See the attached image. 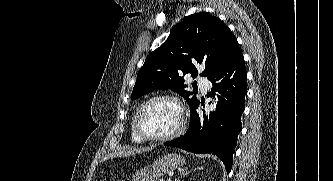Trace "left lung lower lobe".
I'll return each mask as SVG.
<instances>
[{
  "instance_id": "0a47b994",
  "label": "left lung lower lobe",
  "mask_w": 333,
  "mask_h": 181,
  "mask_svg": "<svg viewBox=\"0 0 333 181\" xmlns=\"http://www.w3.org/2000/svg\"><path fill=\"white\" fill-rule=\"evenodd\" d=\"M246 68L240 48H236L230 58L208 79L212 82L211 94L217 91L219 102L209 119L200 118L196 109H191L190 125L185 135L164 143L193 153H209L218 156L230 172L232 156L241 131V115L247 91Z\"/></svg>"
}]
</instances>
